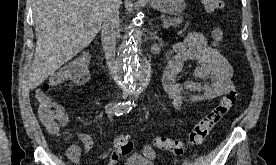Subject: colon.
<instances>
[{
	"instance_id": "5ec220e1",
	"label": "colon",
	"mask_w": 276,
	"mask_h": 165,
	"mask_svg": "<svg viewBox=\"0 0 276 165\" xmlns=\"http://www.w3.org/2000/svg\"><path fill=\"white\" fill-rule=\"evenodd\" d=\"M205 10L216 13L224 8L223 0H202ZM215 41H220L221 33H214ZM89 72V60L82 55L62 67L50 84L44 85L36 92L38 113L41 121L52 131L59 130L66 123V115L62 106L50 96L52 87L67 83H81L87 79ZM237 92L231 91L223 96L219 103L202 117L190 131L186 142L168 137H157L154 140L156 147L180 155L185 146H198L204 142L211 130L225 117L236 102ZM116 152L121 156H127L132 152L133 142L127 135L120 134L114 139ZM147 155L154 157V152L149 149Z\"/></svg>"
}]
</instances>
